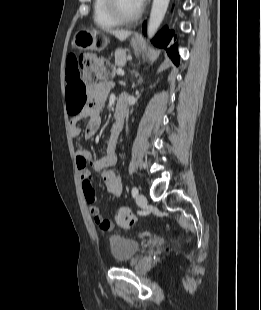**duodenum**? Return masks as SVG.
<instances>
[{
  "instance_id": "obj_1",
  "label": "duodenum",
  "mask_w": 261,
  "mask_h": 310,
  "mask_svg": "<svg viewBox=\"0 0 261 310\" xmlns=\"http://www.w3.org/2000/svg\"><path fill=\"white\" fill-rule=\"evenodd\" d=\"M128 109V100L125 96H121L115 106L114 116L116 119V124L118 125V129L122 127L123 119L127 113Z\"/></svg>"
}]
</instances>
